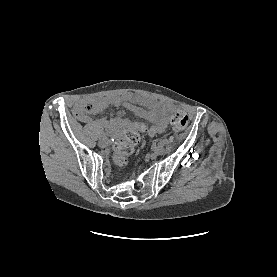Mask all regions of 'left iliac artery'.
<instances>
[{
  "label": "left iliac artery",
  "mask_w": 277,
  "mask_h": 277,
  "mask_svg": "<svg viewBox=\"0 0 277 277\" xmlns=\"http://www.w3.org/2000/svg\"><path fill=\"white\" fill-rule=\"evenodd\" d=\"M168 143H169V140H168V139H161L160 142H159V144H160V145H163V146H164V145H167Z\"/></svg>",
  "instance_id": "1"
}]
</instances>
